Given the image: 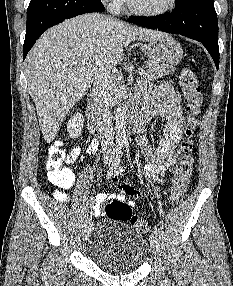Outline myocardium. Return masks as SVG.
I'll list each match as a JSON object with an SVG mask.
<instances>
[{
  "label": "myocardium",
  "instance_id": "f54148a6",
  "mask_svg": "<svg viewBox=\"0 0 233 286\" xmlns=\"http://www.w3.org/2000/svg\"><path fill=\"white\" fill-rule=\"evenodd\" d=\"M128 8L135 14L145 17H159L171 12L176 6V0H169L168 5L158 11H148L138 8L132 0H126Z\"/></svg>",
  "mask_w": 233,
  "mask_h": 286
}]
</instances>
